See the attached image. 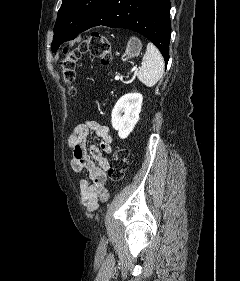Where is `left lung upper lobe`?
I'll use <instances>...</instances> for the list:
<instances>
[{"label":"left lung upper lobe","instance_id":"5c2ea615","mask_svg":"<svg viewBox=\"0 0 240 281\" xmlns=\"http://www.w3.org/2000/svg\"><path fill=\"white\" fill-rule=\"evenodd\" d=\"M104 0H63L54 26L52 51L74 39Z\"/></svg>","mask_w":240,"mask_h":281}]
</instances>
